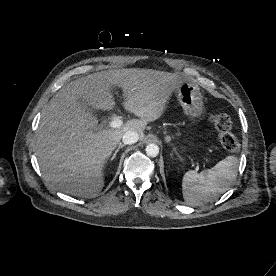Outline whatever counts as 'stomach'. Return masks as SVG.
I'll list each match as a JSON object with an SVG mask.
<instances>
[{
  "label": "stomach",
  "mask_w": 276,
  "mask_h": 276,
  "mask_svg": "<svg viewBox=\"0 0 276 276\" xmlns=\"http://www.w3.org/2000/svg\"><path fill=\"white\" fill-rule=\"evenodd\" d=\"M176 96L185 115L191 119H198L205 113L203 96L196 84L184 81L176 90Z\"/></svg>",
  "instance_id": "obj_1"
}]
</instances>
